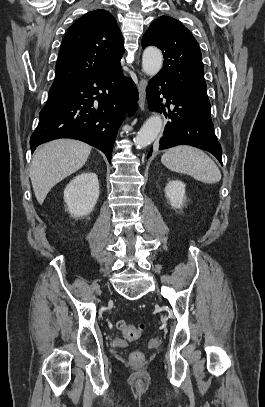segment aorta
<instances>
[{"label":"aorta","mask_w":265,"mask_h":407,"mask_svg":"<svg viewBox=\"0 0 265 407\" xmlns=\"http://www.w3.org/2000/svg\"><path fill=\"white\" fill-rule=\"evenodd\" d=\"M163 64V56L160 50L156 48H147L143 52L142 69L149 75H156ZM162 118L155 114L151 116L141 127L137 133L134 142L139 148H144L150 145L159 135L162 129Z\"/></svg>","instance_id":"762f6f07"}]
</instances>
